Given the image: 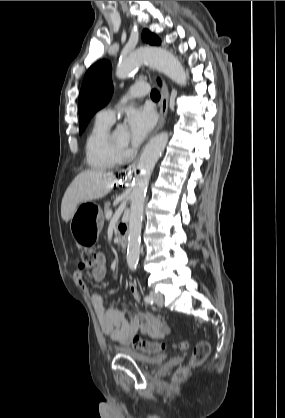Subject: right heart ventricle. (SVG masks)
<instances>
[{
  "instance_id": "e07e8e85",
  "label": "right heart ventricle",
  "mask_w": 285,
  "mask_h": 418,
  "mask_svg": "<svg viewBox=\"0 0 285 418\" xmlns=\"http://www.w3.org/2000/svg\"><path fill=\"white\" fill-rule=\"evenodd\" d=\"M111 122L96 116L90 126L84 142L87 164L93 170H106L120 164L123 158L114 155L104 142V136Z\"/></svg>"
}]
</instances>
